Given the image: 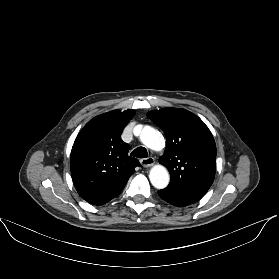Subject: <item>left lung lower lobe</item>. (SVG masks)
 Returning <instances> with one entry per match:
<instances>
[{
	"label": "left lung lower lobe",
	"mask_w": 279,
	"mask_h": 279,
	"mask_svg": "<svg viewBox=\"0 0 279 279\" xmlns=\"http://www.w3.org/2000/svg\"><path fill=\"white\" fill-rule=\"evenodd\" d=\"M158 194L163 200H165L166 202H168L174 206H177V207H184V206L190 205L192 203H195L194 201H191V200H188L185 198H180V197H176L173 195H169V194L163 192L162 190L158 191Z\"/></svg>",
	"instance_id": "1"
}]
</instances>
